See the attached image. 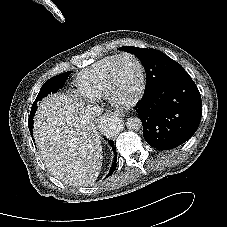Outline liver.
<instances>
[{"label": "liver", "mask_w": 227, "mask_h": 227, "mask_svg": "<svg viewBox=\"0 0 227 227\" xmlns=\"http://www.w3.org/2000/svg\"><path fill=\"white\" fill-rule=\"evenodd\" d=\"M34 138L53 176L73 186L97 180L103 159L101 140L81 103L61 93L44 98L34 117Z\"/></svg>", "instance_id": "liver-1"}]
</instances>
